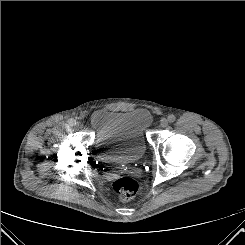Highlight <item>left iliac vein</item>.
<instances>
[{"instance_id": "obj_1", "label": "left iliac vein", "mask_w": 245, "mask_h": 245, "mask_svg": "<svg viewBox=\"0 0 245 245\" xmlns=\"http://www.w3.org/2000/svg\"><path fill=\"white\" fill-rule=\"evenodd\" d=\"M160 126L162 128H165L168 126V120L166 118H163L161 121H160Z\"/></svg>"}]
</instances>
